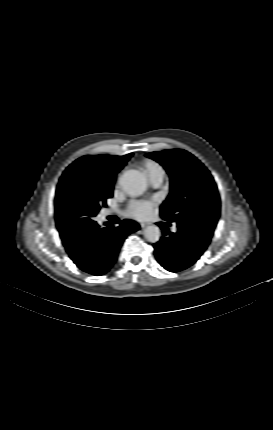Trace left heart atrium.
Listing matches in <instances>:
<instances>
[{"mask_svg": "<svg viewBox=\"0 0 273 430\" xmlns=\"http://www.w3.org/2000/svg\"><path fill=\"white\" fill-rule=\"evenodd\" d=\"M153 205L152 201H134L129 207L128 214L138 219L146 218L150 215Z\"/></svg>", "mask_w": 273, "mask_h": 430, "instance_id": "1", "label": "left heart atrium"}]
</instances>
